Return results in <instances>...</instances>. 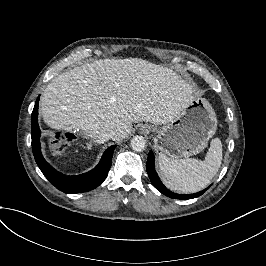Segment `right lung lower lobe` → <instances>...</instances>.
Listing matches in <instances>:
<instances>
[{"label":"right lung lower lobe","mask_w":266,"mask_h":266,"mask_svg":"<svg viewBox=\"0 0 266 266\" xmlns=\"http://www.w3.org/2000/svg\"><path fill=\"white\" fill-rule=\"evenodd\" d=\"M39 97L31 115L32 150L36 163L45 177L59 190L64 193H82L98 187L107 177L111 167L113 151L116 145L109 147L103 154L100 163L91 171L76 176H67L54 169L43 158L40 146L41 131L38 125Z\"/></svg>","instance_id":"1"}]
</instances>
